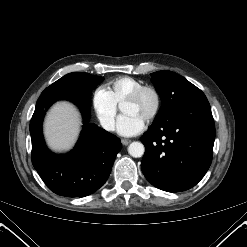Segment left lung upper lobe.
Returning <instances> with one entry per match:
<instances>
[{"instance_id": "left-lung-upper-lobe-1", "label": "left lung upper lobe", "mask_w": 247, "mask_h": 247, "mask_svg": "<svg viewBox=\"0 0 247 247\" xmlns=\"http://www.w3.org/2000/svg\"><path fill=\"white\" fill-rule=\"evenodd\" d=\"M151 81L162 99L155 120L169 118L193 102L207 100L199 88L177 73L168 70L154 72Z\"/></svg>"}]
</instances>
